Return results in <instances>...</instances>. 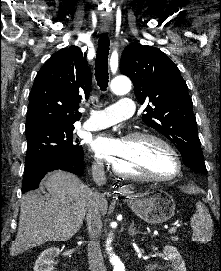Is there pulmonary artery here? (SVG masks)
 I'll return each mask as SVG.
<instances>
[{
    "mask_svg": "<svg viewBox=\"0 0 221 271\" xmlns=\"http://www.w3.org/2000/svg\"><path fill=\"white\" fill-rule=\"evenodd\" d=\"M135 111L131 98H120L116 107H107V112H89L88 121H82L81 124L90 130H101L115 126V122H125V117H132V112Z\"/></svg>",
    "mask_w": 221,
    "mask_h": 271,
    "instance_id": "obj_1",
    "label": "pulmonary artery"
}]
</instances>
